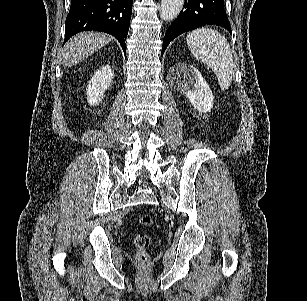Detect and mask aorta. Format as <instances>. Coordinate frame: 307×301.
I'll use <instances>...</instances> for the list:
<instances>
[{
	"mask_svg": "<svg viewBox=\"0 0 307 301\" xmlns=\"http://www.w3.org/2000/svg\"><path fill=\"white\" fill-rule=\"evenodd\" d=\"M184 0H161L160 18L162 20H174L178 16Z\"/></svg>",
	"mask_w": 307,
	"mask_h": 301,
	"instance_id": "1",
	"label": "aorta"
}]
</instances>
